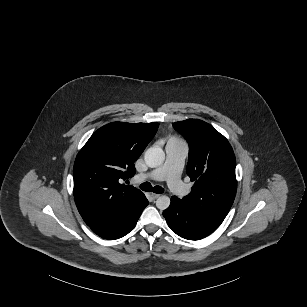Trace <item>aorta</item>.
<instances>
[{
    "label": "aorta",
    "mask_w": 307,
    "mask_h": 307,
    "mask_svg": "<svg viewBox=\"0 0 307 307\" xmlns=\"http://www.w3.org/2000/svg\"><path fill=\"white\" fill-rule=\"evenodd\" d=\"M144 160L149 167H158L165 161V152L160 147H150L144 155ZM170 205L168 196H160L156 200V206L160 210H165Z\"/></svg>",
    "instance_id": "obj_1"
}]
</instances>
